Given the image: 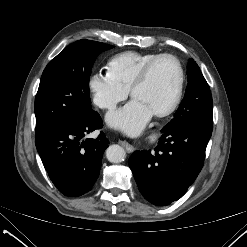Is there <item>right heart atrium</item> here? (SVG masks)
Wrapping results in <instances>:
<instances>
[{
    "mask_svg": "<svg viewBox=\"0 0 247 247\" xmlns=\"http://www.w3.org/2000/svg\"><path fill=\"white\" fill-rule=\"evenodd\" d=\"M88 88L94 105L108 111L114 110L128 95V90L108 70L93 73Z\"/></svg>",
    "mask_w": 247,
    "mask_h": 247,
    "instance_id": "right-heart-atrium-1",
    "label": "right heart atrium"
}]
</instances>
